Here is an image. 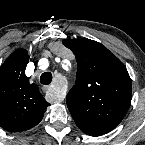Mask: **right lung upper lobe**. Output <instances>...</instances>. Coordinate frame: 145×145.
I'll list each match as a JSON object with an SVG mask.
<instances>
[{
  "label": "right lung upper lobe",
  "mask_w": 145,
  "mask_h": 145,
  "mask_svg": "<svg viewBox=\"0 0 145 145\" xmlns=\"http://www.w3.org/2000/svg\"><path fill=\"white\" fill-rule=\"evenodd\" d=\"M28 60L27 51L19 49L0 67V126L10 132L36 126L50 105L25 75Z\"/></svg>",
  "instance_id": "right-lung-upper-lobe-1"
}]
</instances>
